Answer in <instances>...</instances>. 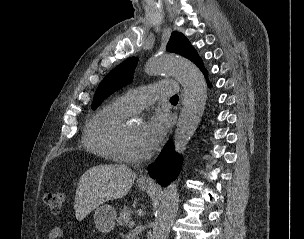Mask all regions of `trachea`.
<instances>
[{
    "label": "trachea",
    "mask_w": 304,
    "mask_h": 239,
    "mask_svg": "<svg viewBox=\"0 0 304 239\" xmlns=\"http://www.w3.org/2000/svg\"><path fill=\"white\" fill-rule=\"evenodd\" d=\"M178 100H179L178 95H175V96L171 97V99H170V101H175V102H178Z\"/></svg>",
    "instance_id": "obj_1"
}]
</instances>
